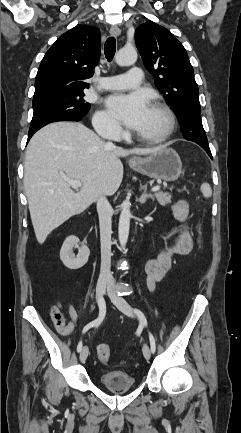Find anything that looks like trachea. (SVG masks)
<instances>
[{
  "instance_id": "3493384b",
  "label": "trachea",
  "mask_w": 241,
  "mask_h": 433,
  "mask_svg": "<svg viewBox=\"0 0 241 433\" xmlns=\"http://www.w3.org/2000/svg\"><path fill=\"white\" fill-rule=\"evenodd\" d=\"M105 57L108 61H112L116 52V40L114 37H110L106 40L104 45Z\"/></svg>"
}]
</instances>
